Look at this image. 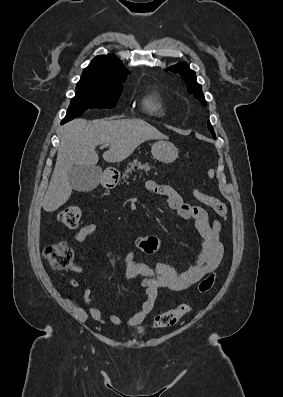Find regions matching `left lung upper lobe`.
Masks as SVG:
<instances>
[{"label": "left lung upper lobe", "mask_w": 283, "mask_h": 397, "mask_svg": "<svg viewBox=\"0 0 283 397\" xmlns=\"http://www.w3.org/2000/svg\"><path fill=\"white\" fill-rule=\"evenodd\" d=\"M169 70L173 73H178L182 76L183 80L186 82L190 93L194 95L196 99H198L202 104H205L204 95L202 93V87L196 82L195 72L190 70L189 66L186 63H179L169 68ZM167 71V70H166ZM208 128L212 135L215 138V133L213 127L210 122L207 123Z\"/></svg>", "instance_id": "obj_1"}]
</instances>
